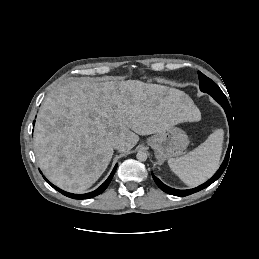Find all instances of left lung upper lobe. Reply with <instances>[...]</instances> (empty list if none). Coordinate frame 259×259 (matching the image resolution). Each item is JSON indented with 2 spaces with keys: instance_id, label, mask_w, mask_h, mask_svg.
Wrapping results in <instances>:
<instances>
[{
  "instance_id": "obj_1",
  "label": "left lung upper lobe",
  "mask_w": 259,
  "mask_h": 259,
  "mask_svg": "<svg viewBox=\"0 0 259 259\" xmlns=\"http://www.w3.org/2000/svg\"><path fill=\"white\" fill-rule=\"evenodd\" d=\"M200 80V89L210 95H224L221 89L207 76L200 71L198 72Z\"/></svg>"
}]
</instances>
